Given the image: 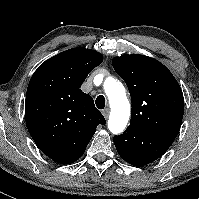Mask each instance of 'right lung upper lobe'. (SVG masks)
Segmentation results:
<instances>
[{"instance_id": "1", "label": "right lung upper lobe", "mask_w": 199, "mask_h": 199, "mask_svg": "<svg viewBox=\"0 0 199 199\" xmlns=\"http://www.w3.org/2000/svg\"><path fill=\"white\" fill-rule=\"evenodd\" d=\"M103 56L72 48L43 62L34 72L26 94L25 119L37 147L60 164L79 159L105 118L92 97L80 89Z\"/></svg>"}]
</instances>
